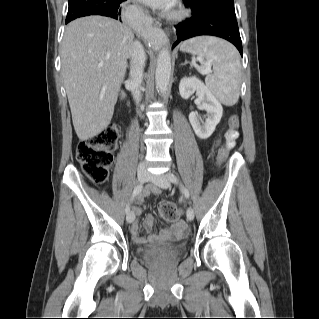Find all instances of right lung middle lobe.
I'll return each mask as SVG.
<instances>
[{
  "mask_svg": "<svg viewBox=\"0 0 319 319\" xmlns=\"http://www.w3.org/2000/svg\"><path fill=\"white\" fill-rule=\"evenodd\" d=\"M112 0H68L69 8L66 20H74L77 14L84 12L98 4Z\"/></svg>",
  "mask_w": 319,
  "mask_h": 319,
  "instance_id": "obj_1",
  "label": "right lung middle lobe"
}]
</instances>
